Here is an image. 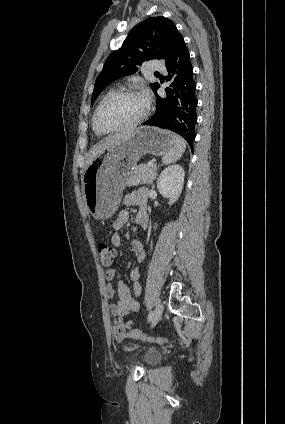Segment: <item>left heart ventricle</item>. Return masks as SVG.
Returning <instances> with one entry per match:
<instances>
[{
  "label": "left heart ventricle",
  "mask_w": 285,
  "mask_h": 424,
  "mask_svg": "<svg viewBox=\"0 0 285 424\" xmlns=\"http://www.w3.org/2000/svg\"><path fill=\"white\" fill-rule=\"evenodd\" d=\"M146 108V99L142 95L129 94L110 100L98 115L101 128L117 127L138 118Z\"/></svg>",
  "instance_id": "b2bd125f"
}]
</instances>
